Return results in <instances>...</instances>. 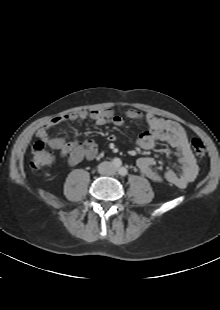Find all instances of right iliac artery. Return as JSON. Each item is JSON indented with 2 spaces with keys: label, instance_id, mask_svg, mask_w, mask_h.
Segmentation results:
<instances>
[{
  "label": "right iliac artery",
  "instance_id": "82829eb1",
  "mask_svg": "<svg viewBox=\"0 0 220 310\" xmlns=\"http://www.w3.org/2000/svg\"><path fill=\"white\" fill-rule=\"evenodd\" d=\"M112 164L115 168H119L121 166V160L119 158H115L113 159Z\"/></svg>",
  "mask_w": 220,
  "mask_h": 310
}]
</instances>
